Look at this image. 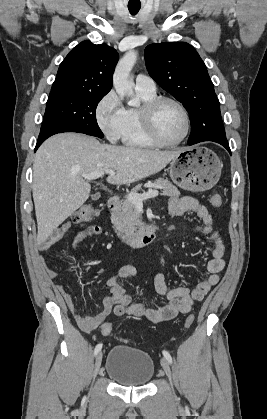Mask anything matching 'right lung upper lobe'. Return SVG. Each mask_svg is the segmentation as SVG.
I'll return each mask as SVG.
<instances>
[{
	"instance_id": "obj_1",
	"label": "right lung upper lobe",
	"mask_w": 267,
	"mask_h": 419,
	"mask_svg": "<svg viewBox=\"0 0 267 419\" xmlns=\"http://www.w3.org/2000/svg\"><path fill=\"white\" fill-rule=\"evenodd\" d=\"M118 59L117 51L106 44L95 45L88 40L81 42L60 64L50 94H107L113 85Z\"/></svg>"
}]
</instances>
